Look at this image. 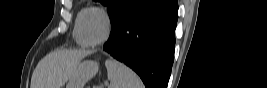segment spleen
<instances>
[{
    "label": "spleen",
    "mask_w": 267,
    "mask_h": 88,
    "mask_svg": "<svg viewBox=\"0 0 267 88\" xmlns=\"http://www.w3.org/2000/svg\"><path fill=\"white\" fill-rule=\"evenodd\" d=\"M108 79V88H144L140 77L125 64L114 59L105 61Z\"/></svg>",
    "instance_id": "spleen-1"
}]
</instances>
